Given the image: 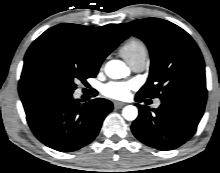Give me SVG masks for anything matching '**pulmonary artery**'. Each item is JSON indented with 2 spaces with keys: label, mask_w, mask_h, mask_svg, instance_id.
<instances>
[{
  "label": "pulmonary artery",
  "mask_w": 220,
  "mask_h": 173,
  "mask_svg": "<svg viewBox=\"0 0 220 173\" xmlns=\"http://www.w3.org/2000/svg\"><path fill=\"white\" fill-rule=\"evenodd\" d=\"M146 58H147L146 55H138L134 57L133 59H131L128 63L130 67L132 68V70L136 72H140V71H143L146 67ZM159 105H160V101L157 100L154 106L159 107Z\"/></svg>",
  "instance_id": "obj_1"
}]
</instances>
